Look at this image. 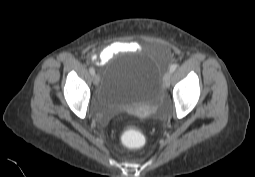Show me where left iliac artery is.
<instances>
[{"label":"left iliac artery","mask_w":255,"mask_h":177,"mask_svg":"<svg viewBox=\"0 0 255 177\" xmlns=\"http://www.w3.org/2000/svg\"><path fill=\"white\" fill-rule=\"evenodd\" d=\"M176 68H177V64H172L170 66V72L173 73L176 70Z\"/></svg>","instance_id":"1"}]
</instances>
